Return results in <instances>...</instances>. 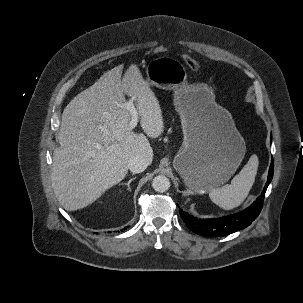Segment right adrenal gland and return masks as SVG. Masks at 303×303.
I'll list each match as a JSON object with an SVG mask.
<instances>
[{
  "mask_svg": "<svg viewBox=\"0 0 303 303\" xmlns=\"http://www.w3.org/2000/svg\"><path fill=\"white\" fill-rule=\"evenodd\" d=\"M135 179H136V177H132L127 183H121V185H126L128 191H131L130 183H131L133 180H135Z\"/></svg>",
  "mask_w": 303,
  "mask_h": 303,
  "instance_id": "1",
  "label": "right adrenal gland"
}]
</instances>
